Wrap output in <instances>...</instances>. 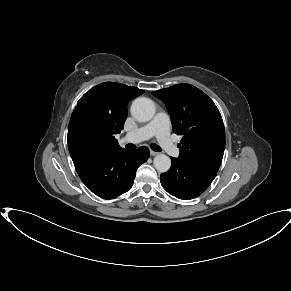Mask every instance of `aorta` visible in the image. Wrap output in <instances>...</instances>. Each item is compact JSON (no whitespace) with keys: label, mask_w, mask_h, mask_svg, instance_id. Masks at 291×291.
Returning <instances> with one entry per match:
<instances>
[{"label":"aorta","mask_w":291,"mask_h":291,"mask_svg":"<svg viewBox=\"0 0 291 291\" xmlns=\"http://www.w3.org/2000/svg\"><path fill=\"white\" fill-rule=\"evenodd\" d=\"M131 114L136 120L147 122L155 115V104L146 97L136 98L131 105ZM153 164L157 171L164 173L170 169L171 160L165 154H158L155 156Z\"/></svg>","instance_id":"762f6f07"}]
</instances>
